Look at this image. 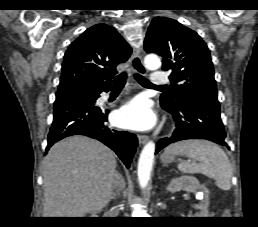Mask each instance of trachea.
<instances>
[{"label": "trachea", "mask_w": 258, "mask_h": 227, "mask_svg": "<svg viewBox=\"0 0 258 227\" xmlns=\"http://www.w3.org/2000/svg\"><path fill=\"white\" fill-rule=\"evenodd\" d=\"M135 79L144 87H151V88H165L166 86H156L153 85L149 80H147L142 75L136 74ZM127 78V74L125 72L121 73L120 75L114 78V89H122L125 85Z\"/></svg>", "instance_id": "3493384b"}]
</instances>
